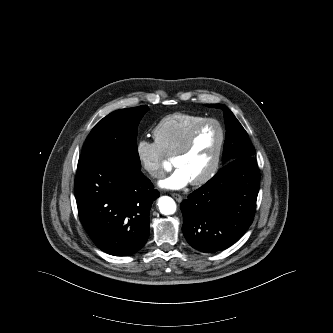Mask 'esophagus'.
Listing matches in <instances>:
<instances>
[{
	"label": "esophagus",
	"mask_w": 333,
	"mask_h": 333,
	"mask_svg": "<svg viewBox=\"0 0 333 333\" xmlns=\"http://www.w3.org/2000/svg\"><path fill=\"white\" fill-rule=\"evenodd\" d=\"M172 196L178 202H181L183 200V198H182V196L180 194L172 193Z\"/></svg>",
	"instance_id": "1"
}]
</instances>
